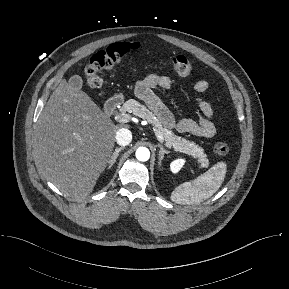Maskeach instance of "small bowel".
I'll return each mask as SVG.
<instances>
[{
    "label": "small bowel",
    "mask_w": 289,
    "mask_h": 289,
    "mask_svg": "<svg viewBox=\"0 0 289 289\" xmlns=\"http://www.w3.org/2000/svg\"><path fill=\"white\" fill-rule=\"evenodd\" d=\"M172 84V80L167 76L150 74L137 82L136 94L152 108L166 128H176L181 133H189L202 138L214 137L216 128L212 121L213 108L209 102L200 97L196 99V103L202 116L197 119L182 118L175 121L172 113L155 93V89L168 90ZM208 88L209 83L205 80H199L194 84V92L197 95L206 92Z\"/></svg>",
    "instance_id": "c3829d8e"
}]
</instances>
